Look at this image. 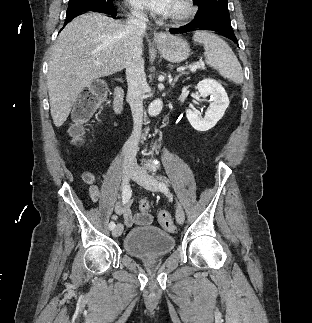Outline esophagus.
Masks as SVG:
<instances>
[{"label": "esophagus", "instance_id": "esophagus-1", "mask_svg": "<svg viewBox=\"0 0 312 323\" xmlns=\"http://www.w3.org/2000/svg\"><path fill=\"white\" fill-rule=\"evenodd\" d=\"M165 39H166V34L164 32H160L154 36V41L156 43H160Z\"/></svg>", "mask_w": 312, "mask_h": 323}]
</instances>
